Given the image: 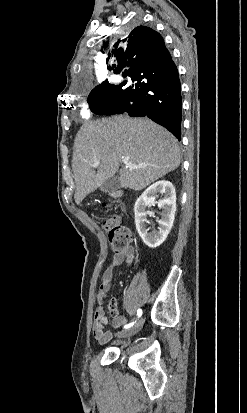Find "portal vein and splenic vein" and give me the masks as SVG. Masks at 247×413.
<instances>
[{
  "instance_id": "portal-vein-and-splenic-vein-1",
  "label": "portal vein and splenic vein",
  "mask_w": 247,
  "mask_h": 413,
  "mask_svg": "<svg viewBox=\"0 0 247 413\" xmlns=\"http://www.w3.org/2000/svg\"><path fill=\"white\" fill-rule=\"evenodd\" d=\"M122 162H124V164H129L128 158H124ZM98 164H100V160H95V162H93V166H98Z\"/></svg>"
}]
</instances>
